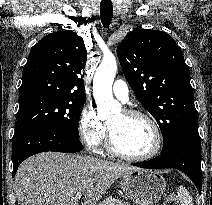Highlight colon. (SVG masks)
I'll return each mask as SVG.
<instances>
[{
    "label": "colon",
    "instance_id": "colon-1",
    "mask_svg": "<svg viewBox=\"0 0 212 205\" xmlns=\"http://www.w3.org/2000/svg\"><path fill=\"white\" fill-rule=\"evenodd\" d=\"M163 205H178L175 194L170 193L166 196Z\"/></svg>",
    "mask_w": 212,
    "mask_h": 205
}]
</instances>
